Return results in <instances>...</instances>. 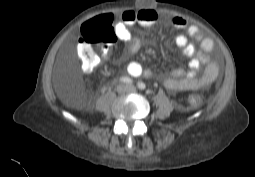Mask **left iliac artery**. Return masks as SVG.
Listing matches in <instances>:
<instances>
[{
    "label": "left iliac artery",
    "instance_id": "left-iliac-artery-1",
    "mask_svg": "<svg viewBox=\"0 0 255 177\" xmlns=\"http://www.w3.org/2000/svg\"><path fill=\"white\" fill-rule=\"evenodd\" d=\"M137 87L141 90H144L145 89V84L143 82H138L137 83Z\"/></svg>",
    "mask_w": 255,
    "mask_h": 177
}]
</instances>
